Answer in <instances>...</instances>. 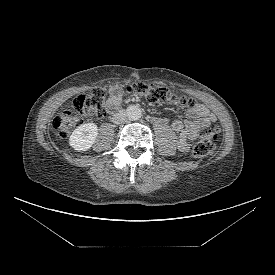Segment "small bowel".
I'll return each mask as SVG.
<instances>
[{"label":"small bowel","instance_id":"c3829d8e","mask_svg":"<svg viewBox=\"0 0 275 275\" xmlns=\"http://www.w3.org/2000/svg\"><path fill=\"white\" fill-rule=\"evenodd\" d=\"M121 101L120 92L113 90L107 102L108 110L118 109ZM215 120V115L205 105L196 103L194 107L188 110L187 119L174 120L171 123L173 130L179 134V147L186 150L189 142L197 137L200 128L203 125L211 124Z\"/></svg>","mask_w":275,"mask_h":275}]
</instances>
